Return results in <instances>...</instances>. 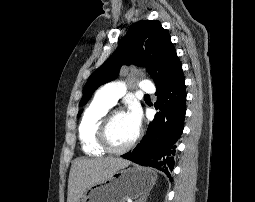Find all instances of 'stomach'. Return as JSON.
Wrapping results in <instances>:
<instances>
[{"label": "stomach", "instance_id": "obj_1", "mask_svg": "<svg viewBox=\"0 0 255 202\" xmlns=\"http://www.w3.org/2000/svg\"><path fill=\"white\" fill-rule=\"evenodd\" d=\"M156 181L152 171L140 167L118 170L86 189L78 202H124L151 191Z\"/></svg>", "mask_w": 255, "mask_h": 202}]
</instances>
